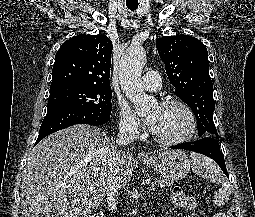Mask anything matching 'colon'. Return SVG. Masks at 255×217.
<instances>
[{"mask_svg":"<svg viewBox=\"0 0 255 217\" xmlns=\"http://www.w3.org/2000/svg\"><path fill=\"white\" fill-rule=\"evenodd\" d=\"M173 204L186 211H192L196 207V202L192 196L182 191L180 188H175L172 194Z\"/></svg>","mask_w":255,"mask_h":217,"instance_id":"1","label":"colon"}]
</instances>
